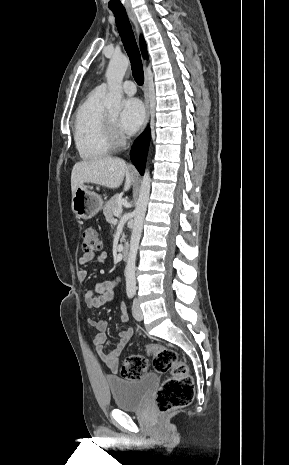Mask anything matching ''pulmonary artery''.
Masks as SVG:
<instances>
[{
  "label": "pulmonary artery",
  "instance_id": "obj_1",
  "mask_svg": "<svg viewBox=\"0 0 289 465\" xmlns=\"http://www.w3.org/2000/svg\"><path fill=\"white\" fill-rule=\"evenodd\" d=\"M97 88L105 92L107 89V85L103 83L99 85ZM122 89L127 95H134L136 93V86L134 82L130 80H127L123 83Z\"/></svg>",
  "mask_w": 289,
  "mask_h": 465
}]
</instances>
